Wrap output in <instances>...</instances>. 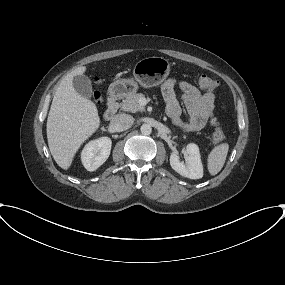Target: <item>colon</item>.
Masks as SVG:
<instances>
[{
	"mask_svg": "<svg viewBox=\"0 0 285 285\" xmlns=\"http://www.w3.org/2000/svg\"><path fill=\"white\" fill-rule=\"evenodd\" d=\"M197 82L198 85L205 90L208 91H213L217 88L218 86V82L216 80H214L213 78L205 75V74H201L197 77ZM93 98L96 102H100L101 101V94L99 91L95 90L93 92ZM212 140L215 144H219L221 142H223L225 140V134L222 130V128L220 126H217L214 131H213V135H212Z\"/></svg>",
	"mask_w": 285,
	"mask_h": 285,
	"instance_id": "colon-1",
	"label": "colon"
}]
</instances>
